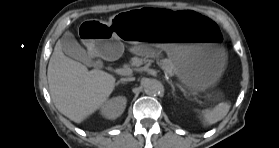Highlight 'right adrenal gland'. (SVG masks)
<instances>
[{
  "mask_svg": "<svg viewBox=\"0 0 279 148\" xmlns=\"http://www.w3.org/2000/svg\"><path fill=\"white\" fill-rule=\"evenodd\" d=\"M126 84L124 81H122V80H120V81H118L117 83H116V85H119V84Z\"/></svg>",
  "mask_w": 279,
  "mask_h": 148,
  "instance_id": "1",
  "label": "right adrenal gland"
}]
</instances>
